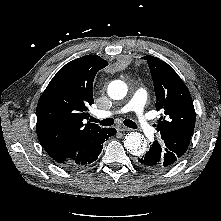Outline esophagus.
<instances>
[{"label":"esophagus","instance_id":"obj_1","mask_svg":"<svg viewBox=\"0 0 221 221\" xmlns=\"http://www.w3.org/2000/svg\"><path fill=\"white\" fill-rule=\"evenodd\" d=\"M117 130L120 131V132H126V131H130V128H127L123 125H118L117 127Z\"/></svg>","mask_w":221,"mask_h":221}]
</instances>
